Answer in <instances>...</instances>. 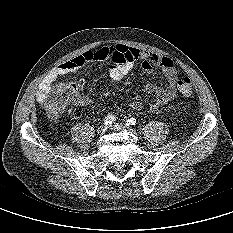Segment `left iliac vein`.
<instances>
[{
  "mask_svg": "<svg viewBox=\"0 0 233 233\" xmlns=\"http://www.w3.org/2000/svg\"><path fill=\"white\" fill-rule=\"evenodd\" d=\"M111 128L115 131H124V130H130L132 132H134V130H132L131 128L127 127V126H124L122 124H119V123H116L114 125L111 126Z\"/></svg>",
  "mask_w": 233,
  "mask_h": 233,
  "instance_id": "obj_1",
  "label": "left iliac vein"
}]
</instances>
